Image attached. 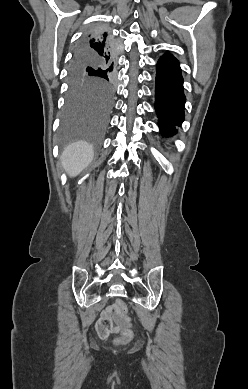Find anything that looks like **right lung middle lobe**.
<instances>
[{"label": "right lung middle lobe", "mask_w": 248, "mask_h": 389, "mask_svg": "<svg viewBox=\"0 0 248 389\" xmlns=\"http://www.w3.org/2000/svg\"><path fill=\"white\" fill-rule=\"evenodd\" d=\"M69 77L60 139L63 143L84 139L99 146L115 94L114 66L84 54L78 47Z\"/></svg>", "instance_id": "obj_1"}]
</instances>
